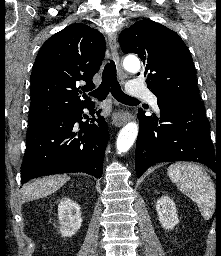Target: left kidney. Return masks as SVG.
<instances>
[{
    "label": "left kidney",
    "instance_id": "obj_1",
    "mask_svg": "<svg viewBox=\"0 0 221 256\" xmlns=\"http://www.w3.org/2000/svg\"><path fill=\"white\" fill-rule=\"evenodd\" d=\"M156 211L162 227L173 229L179 222L174 201L168 196H162L156 203Z\"/></svg>",
    "mask_w": 221,
    "mask_h": 256
}]
</instances>
